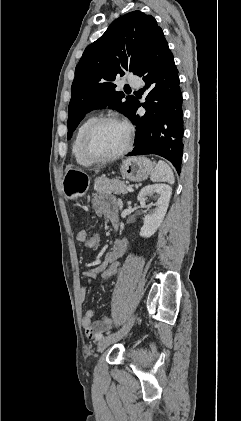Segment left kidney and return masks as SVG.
I'll return each instance as SVG.
<instances>
[{"label":"left kidney","instance_id":"left-kidney-1","mask_svg":"<svg viewBox=\"0 0 241 421\" xmlns=\"http://www.w3.org/2000/svg\"><path fill=\"white\" fill-rule=\"evenodd\" d=\"M156 195L157 202L154 204L156 207L153 211L144 216V224L140 231V236L148 238L151 237L160 227L172 195V188L166 184H153L142 188L138 194V201L141 207H146L148 197Z\"/></svg>","mask_w":241,"mask_h":421}]
</instances>
